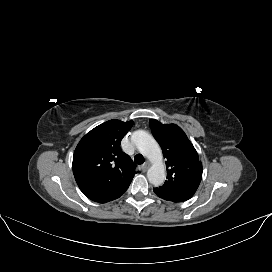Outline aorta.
I'll list each match as a JSON object with an SVG mask.
<instances>
[{
	"label": "aorta",
	"instance_id": "obj_1",
	"mask_svg": "<svg viewBox=\"0 0 272 272\" xmlns=\"http://www.w3.org/2000/svg\"><path fill=\"white\" fill-rule=\"evenodd\" d=\"M132 142L139 152L146 156L152 163L147 171L149 182L158 187L161 186L166 177L165 166L163 164V155L159 144L146 131L137 130L132 135Z\"/></svg>",
	"mask_w": 272,
	"mask_h": 272
}]
</instances>
